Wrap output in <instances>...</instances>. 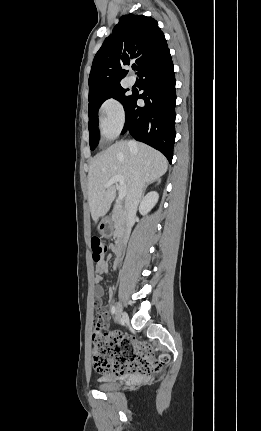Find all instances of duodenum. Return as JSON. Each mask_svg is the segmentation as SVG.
<instances>
[{
  "instance_id": "1",
  "label": "duodenum",
  "mask_w": 261,
  "mask_h": 431,
  "mask_svg": "<svg viewBox=\"0 0 261 431\" xmlns=\"http://www.w3.org/2000/svg\"><path fill=\"white\" fill-rule=\"evenodd\" d=\"M124 242L123 239L120 238L119 241L117 242V244L113 247V251L117 254L120 255L122 252V248H123ZM119 262V260L116 261V264Z\"/></svg>"
}]
</instances>
